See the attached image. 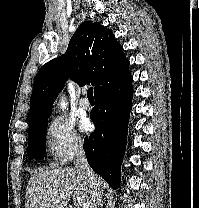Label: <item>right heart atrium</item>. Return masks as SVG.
Listing matches in <instances>:
<instances>
[{
	"instance_id": "obj_1",
	"label": "right heart atrium",
	"mask_w": 199,
	"mask_h": 208,
	"mask_svg": "<svg viewBox=\"0 0 199 208\" xmlns=\"http://www.w3.org/2000/svg\"><path fill=\"white\" fill-rule=\"evenodd\" d=\"M83 147L84 139L73 120L59 116L49 123L47 149L57 164H66L79 154Z\"/></svg>"
}]
</instances>
